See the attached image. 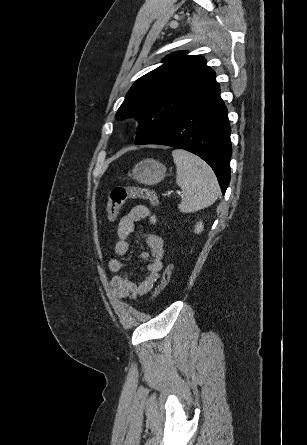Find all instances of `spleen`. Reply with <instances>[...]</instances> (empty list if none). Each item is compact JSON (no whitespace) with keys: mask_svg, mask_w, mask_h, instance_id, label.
<instances>
[{"mask_svg":"<svg viewBox=\"0 0 307 445\" xmlns=\"http://www.w3.org/2000/svg\"><path fill=\"white\" fill-rule=\"evenodd\" d=\"M176 182L182 188L180 212H196L215 202L219 194L217 176L211 166L187 150H173Z\"/></svg>","mask_w":307,"mask_h":445,"instance_id":"1","label":"spleen"}]
</instances>
